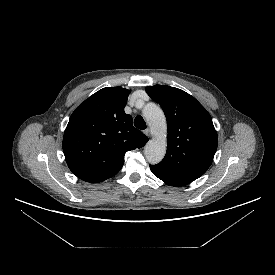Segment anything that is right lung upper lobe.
Instances as JSON below:
<instances>
[{
	"instance_id": "cb5924a9",
	"label": "right lung upper lobe",
	"mask_w": 275,
	"mask_h": 275,
	"mask_svg": "<svg viewBox=\"0 0 275 275\" xmlns=\"http://www.w3.org/2000/svg\"><path fill=\"white\" fill-rule=\"evenodd\" d=\"M129 90L106 87L72 113L63 137L69 169L81 180L97 183L116 175L127 151L143 147L148 137L124 112Z\"/></svg>"
}]
</instances>
